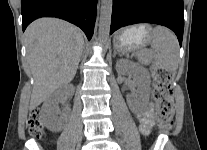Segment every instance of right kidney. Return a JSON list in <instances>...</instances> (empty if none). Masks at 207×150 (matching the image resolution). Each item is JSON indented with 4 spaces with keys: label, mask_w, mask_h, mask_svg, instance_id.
<instances>
[{
    "label": "right kidney",
    "mask_w": 207,
    "mask_h": 150,
    "mask_svg": "<svg viewBox=\"0 0 207 150\" xmlns=\"http://www.w3.org/2000/svg\"><path fill=\"white\" fill-rule=\"evenodd\" d=\"M70 93V86H62L51 94L42 106V120L45 126L52 132H59L63 129L64 114H61L58 104Z\"/></svg>",
    "instance_id": "1"
}]
</instances>
